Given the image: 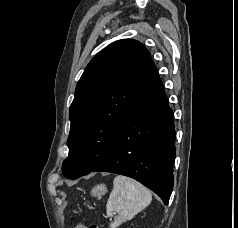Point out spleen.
Masks as SVG:
<instances>
[{
  "mask_svg": "<svg viewBox=\"0 0 238 228\" xmlns=\"http://www.w3.org/2000/svg\"><path fill=\"white\" fill-rule=\"evenodd\" d=\"M113 185L106 211L107 217H112L114 212L118 214L110 223V228H117L145 209L152 201V194L138 181L123 175L116 176Z\"/></svg>",
  "mask_w": 238,
  "mask_h": 228,
  "instance_id": "spleen-1",
  "label": "spleen"
}]
</instances>
